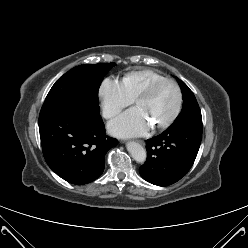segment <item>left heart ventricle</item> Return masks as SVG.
<instances>
[{
  "label": "left heart ventricle",
  "mask_w": 248,
  "mask_h": 248,
  "mask_svg": "<svg viewBox=\"0 0 248 248\" xmlns=\"http://www.w3.org/2000/svg\"><path fill=\"white\" fill-rule=\"evenodd\" d=\"M177 104V91L171 83L159 84L152 94L137 103L149 121L153 124L163 122L171 116Z\"/></svg>",
  "instance_id": "left-heart-ventricle-1"
}]
</instances>
